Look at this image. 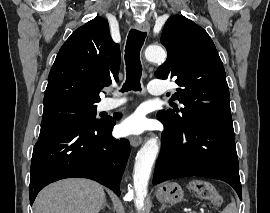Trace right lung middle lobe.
I'll return each mask as SVG.
<instances>
[{
  "label": "right lung middle lobe",
  "instance_id": "obj_1",
  "mask_svg": "<svg viewBox=\"0 0 270 213\" xmlns=\"http://www.w3.org/2000/svg\"><path fill=\"white\" fill-rule=\"evenodd\" d=\"M96 103L76 100L60 101L44 106L43 120L64 119L84 124L97 125L103 120L96 119Z\"/></svg>",
  "mask_w": 270,
  "mask_h": 213
}]
</instances>
